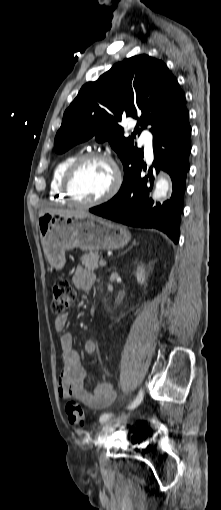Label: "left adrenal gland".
<instances>
[{
	"instance_id": "a2214340",
	"label": "left adrenal gland",
	"mask_w": 221,
	"mask_h": 510,
	"mask_svg": "<svg viewBox=\"0 0 221 510\" xmlns=\"http://www.w3.org/2000/svg\"><path fill=\"white\" fill-rule=\"evenodd\" d=\"M136 245H137L136 241H133V242H132V245H131V246H130V247H129V248H128V249H127L124 253H126L127 251H129L130 249H132V247H133V246H136Z\"/></svg>"
}]
</instances>
